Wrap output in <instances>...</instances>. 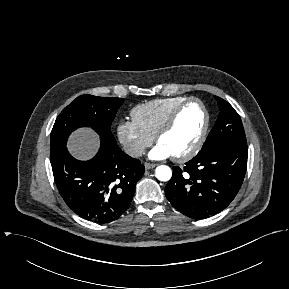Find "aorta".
Segmentation results:
<instances>
[{"label":"aorta","instance_id":"obj_1","mask_svg":"<svg viewBox=\"0 0 289 289\" xmlns=\"http://www.w3.org/2000/svg\"><path fill=\"white\" fill-rule=\"evenodd\" d=\"M155 176L158 180L166 182L172 177V171L167 165H160L156 168Z\"/></svg>","mask_w":289,"mask_h":289}]
</instances>
